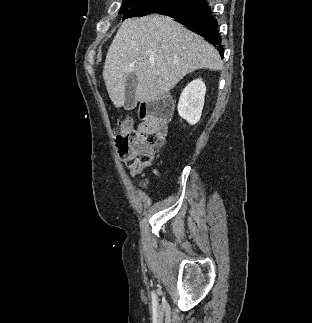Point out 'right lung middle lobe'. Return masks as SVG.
<instances>
[{
  "mask_svg": "<svg viewBox=\"0 0 312 323\" xmlns=\"http://www.w3.org/2000/svg\"><path fill=\"white\" fill-rule=\"evenodd\" d=\"M191 0H123L119 14L123 13L124 19L144 16L150 13H165L173 11ZM123 19V20H124Z\"/></svg>",
  "mask_w": 312,
  "mask_h": 323,
  "instance_id": "dd1d6c3e",
  "label": "right lung middle lobe"
}]
</instances>
